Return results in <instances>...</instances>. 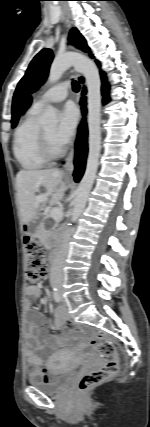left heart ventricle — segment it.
Returning <instances> with one entry per match:
<instances>
[{"label": "left heart ventricle", "mask_w": 150, "mask_h": 427, "mask_svg": "<svg viewBox=\"0 0 150 427\" xmlns=\"http://www.w3.org/2000/svg\"><path fill=\"white\" fill-rule=\"evenodd\" d=\"M43 131L46 134V136H47L48 140L50 141V143L52 144V146L54 147V149H60V147L56 144V142L54 140L56 127L55 126L46 127L43 129Z\"/></svg>", "instance_id": "left-heart-ventricle-1"}]
</instances>
